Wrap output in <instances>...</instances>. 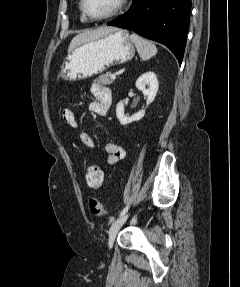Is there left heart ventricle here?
Here are the masks:
<instances>
[{
  "mask_svg": "<svg viewBox=\"0 0 240 287\" xmlns=\"http://www.w3.org/2000/svg\"><path fill=\"white\" fill-rule=\"evenodd\" d=\"M89 13L93 16L108 14L115 6L117 0H86Z\"/></svg>",
  "mask_w": 240,
  "mask_h": 287,
  "instance_id": "left-heart-ventricle-1",
  "label": "left heart ventricle"
}]
</instances>
